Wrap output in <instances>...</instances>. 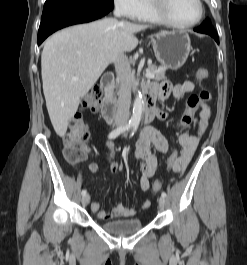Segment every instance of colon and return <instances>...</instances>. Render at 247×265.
Segmentation results:
<instances>
[{"mask_svg": "<svg viewBox=\"0 0 247 265\" xmlns=\"http://www.w3.org/2000/svg\"><path fill=\"white\" fill-rule=\"evenodd\" d=\"M199 81L208 78V71L205 68H199L197 71ZM211 100V93L207 89H202L199 95L189 98L186 109L179 121L180 128H187L191 125L194 114L202 104ZM102 104V90L100 87H94L82 100V107L90 111H96ZM89 138V130L81 114L77 113L69 122L68 130L63 138V155L65 160L71 165H77L85 158L84 144ZM178 152L172 151L167 159L165 173L174 171L178 159ZM164 183V178L156 179L152 185V192H158Z\"/></svg>", "mask_w": 247, "mask_h": 265, "instance_id": "obj_1", "label": "colon"}]
</instances>
